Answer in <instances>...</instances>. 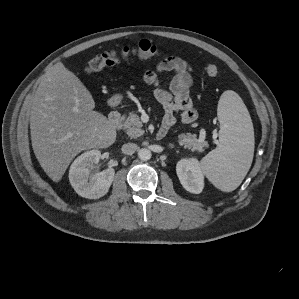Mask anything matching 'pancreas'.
<instances>
[{
  "mask_svg": "<svg viewBox=\"0 0 299 299\" xmlns=\"http://www.w3.org/2000/svg\"><path fill=\"white\" fill-rule=\"evenodd\" d=\"M124 129L131 138H137L144 134L142 122L137 114L131 113L125 118ZM178 143L192 151L202 152L208 146L205 136L197 138L195 134L182 133L178 136Z\"/></svg>",
  "mask_w": 299,
  "mask_h": 299,
  "instance_id": "1",
  "label": "pancreas"
}]
</instances>
